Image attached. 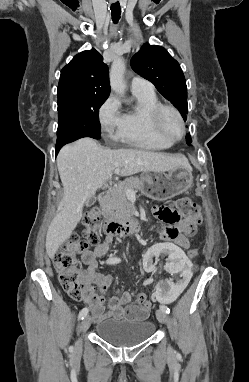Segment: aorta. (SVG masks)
<instances>
[{
  "label": "aorta",
  "mask_w": 249,
  "mask_h": 382,
  "mask_svg": "<svg viewBox=\"0 0 249 382\" xmlns=\"http://www.w3.org/2000/svg\"><path fill=\"white\" fill-rule=\"evenodd\" d=\"M125 62L123 58H117L112 62L110 69V87L120 96L125 94L126 84L124 82Z\"/></svg>",
  "instance_id": "1"
}]
</instances>
